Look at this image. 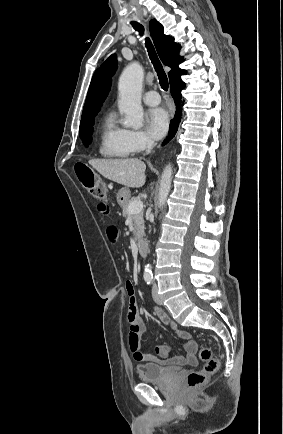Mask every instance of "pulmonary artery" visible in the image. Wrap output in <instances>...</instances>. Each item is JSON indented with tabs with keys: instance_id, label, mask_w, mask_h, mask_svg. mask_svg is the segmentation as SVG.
I'll return each instance as SVG.
<instances>
[{
	"instance_id": "1",
	"label": "pulmonary artery",
	"mask_w": 283,
	"mask_h": 434,
	"mask_svg": "<svg viewBox=\"0 0 283 434\" xmlns=\"http://www.w3.org/2000/svg\"><path fill=\"white\" fill-rule=\"evenodd\" d=\"M143 101L149 106H156L160 103V96L156 91H148L144 94Z\"/></svg>"
}]
</instances>
